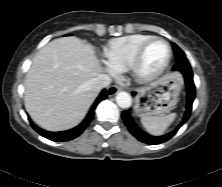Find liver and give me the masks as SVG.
Here are the masks:
<instances>
[{
  "label": "liver",
  "mask_w": 222,
  "mask_h": 187,
  "mask_svg": "<svg viewBox=\"0 0 222 187\" xmlns=\"http://www.w3.org/2000/svg\"><path fill=\"white\" fill-rule=\"evenodd\" d=\"M102 67L90 44L77 37L57 38L33 59L25 80V107L49 131L77 126L95 100L90 85Z\"/></svg>",
  "instance_id": "obj_1"
}]
</instances>
